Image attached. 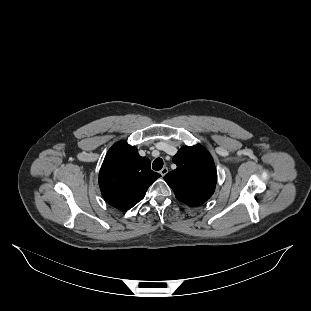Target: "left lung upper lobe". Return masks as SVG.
I'll return each mask as SVG.
<instances>
[{
	"label": "left lung upper lobe",
	"mask_w": 311,
	"mask_h": 311,
	"mask_svg": "<svg viewBox=\"0 0 311 311\" xmlns=\"http://www.w3.org/2000/svg\"><path fill=\"white\" fill-rule=\"evenodd\" d=\"M177 168L164 176L176 198L200 206L214 193L217 172L209 152L201 145L182 147L173 157Z\"/></svg>",
	"instance_id": "5c2ea615"
}]
</instances>
